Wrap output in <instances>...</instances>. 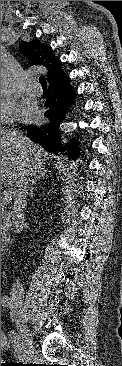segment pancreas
Segmentation results:
<instances>
[{
	"label": "pancreas",
	"instance_id": "1",
	"mask_svg": "<svg viewBox=\"0 0 122 366\" xmlns=\"http://www.w3.org/2000/svg\"><path fill=\"white\" fill-rule=\"evenodd\" d=\"M9 200H5L3 197H1V209H4V207L7 205ZM8 233V226H7V218L4 216L3 213H1V234L6 236Z\"/></svg>",
	"mask_w": 122,
	"mask_h": 366
}]
</instances>
